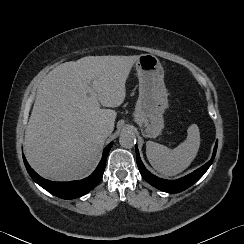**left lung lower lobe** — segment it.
<instances>
[{
    "mask_svg": "<svg viewBox=\"0 0 244 244\" xmlns=\"http://www.w3.org/2000/svg\"><path fill=\"white\" fill-rule=\"evenodd\" d=\"M136 149V157H137V165L140 171V174L142 177L151 185L156 187L157 189L168 192V193H177L180 191H183L193 185L195 182H197L208 170L210 165L212 164L216 150H217V142L214 147L213 155L212 158L209 162H207L205 165L200 167L199 169L195 170L194 172L190 173L189 175L177 179V180H163L160 179L153 174H151L143 165L140 156H139V151L137 148V145L135 146Z\"/></svg>",
    "mask_w": 244,
    "mask_h": 244,
    "instance_id": "obj_1",
    "label": "left lung lower lobe"
}]
</instances>
